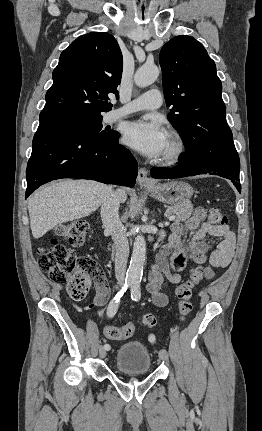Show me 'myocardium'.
I'll list each match as a JSON object with an SVG mask.
<instances>
[{"instance_id":"1","label":"myocardium","mask_w":262,"mask_h":431,"mask_svg":"<svg viewBox=\"0 0 262 431\" xmlns=\"http://www.w3.org/2000/svg\"><path fill=\"white\" fill-rule=\"evenodd\" d=\"M169 139L171 147L158 161L159 164L165 166H172L180 163L188 152V145L179 133L171 131L169 133Z\"/></svg>"}]
</instances>
